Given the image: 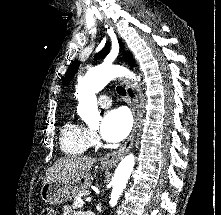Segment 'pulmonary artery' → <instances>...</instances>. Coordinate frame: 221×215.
Wrapping results in <instances>:
<instances>
[{"label": "pulmonary artery", "instance_id": "obj_1", "mask_svg": "<svg viewBox=\"0 0 221 215\" xmlns=\"http://www.w3.org/2000/svg\"><path fill=\"white\" fill-rule=\"evenodd\" d=\"M98 104L102 107V108H108L111 106V99L107 96V95H101L98 98Z\"/></svg>", "mask_w": 221, "mask_h": 215}]
</instances>
